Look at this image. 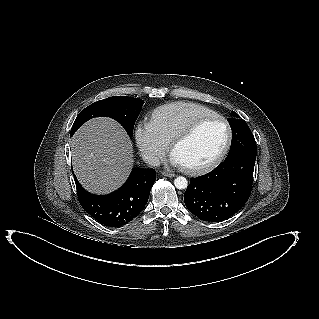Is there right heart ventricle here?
<instances>
[{
    "label": "right heart ventricle",
    "mask_w": 319,
    "mask_h": 319,
    "mask_svg": "<svg viewBox=\"0 0 319 319\" xmlns=\"http://www.w3.org/2000/svg\"><path fill=\"white\" fill-rule=\"evenodd\" d=\"M215 113L203 105L176 101L153 109L149 115V122L153 128L168 142L193 119Z\"/></svg>",
    "instance_id": "1"
}]
</instances>
